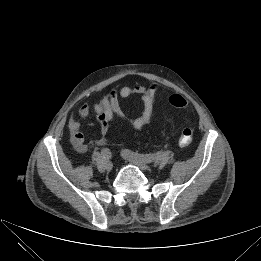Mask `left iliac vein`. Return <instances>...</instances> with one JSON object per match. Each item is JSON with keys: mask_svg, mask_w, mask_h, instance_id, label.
I'll return each instance as SVG.
<instances>
[{"mask_svg": "<svg viewBox=\"0 0 261 261\" xmlns=\"http://www.w3.org/2000/svg\"><path fill=\"white\" fill-rule=\"evenodd\" d=\"M122 156L125 160H127L131 164L138 166L142 170H147L149 168L148 164L145 161H142L140 159L131 158L128 155H126L124 152H122Z\"/></svg>", "mask_w": 261, "mask_h": 261, "instance_id": "left-iliac-vein-1", "label": "left iliac vein"}]
</instances>
